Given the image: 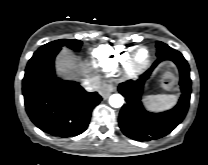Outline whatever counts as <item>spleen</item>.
<instances>
[{"label":"spleen","mask_w":208,"mask_h":165,"mask_svg":"<svg viewBox=\"0 0 208 165\" xmlns=\"http://www.w3.org/2000/svg\"><path fill=\"white\" fill-rule=\"evenodd\" d=\"M146 106L153 111H164L172 108L176 102L177 97L175 95H155L149 96L145 100Z\"/></svg>","instance_id":"spleen-1"}]
</instances>
